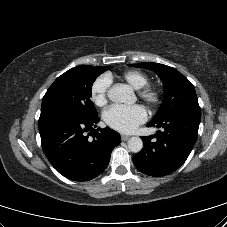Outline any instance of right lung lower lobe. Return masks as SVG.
<instances>
[{"instance_id": "right-lung-lower-lobe-1", "label": "right lung lower lobe", "mask_w": 227, "mask_h": 227, "mask_svg": "<svg viewBox=\"0 0 227 227\" xmlns=\"http://www.w3.org/2000/svg\"><path fill=\"white\" fill-rule=\"evenodd\" d=\"M99 120L98 116L86 119L63 111L40 115L38 128L43 151L61 175L88 181L105 170L121 139L109 127L92 134L90 131Z\"/></svg>"}]
</instances>
